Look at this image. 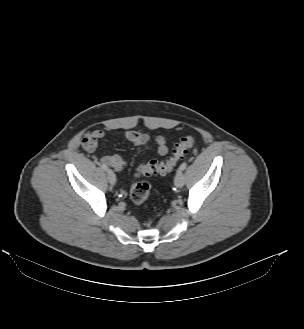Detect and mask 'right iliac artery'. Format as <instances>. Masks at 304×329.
<instances>
[{
    "mask_svg": "<svg viewBox=\"0 0 304 329\" xmlns=\"http://www.w3.org/2000/svg\"><path fill=\"white\" fill-rule=\"evenodd\" d=\"M101 168H102L103 170H105V171H108V167H107V165H105V164H101Z\"/></svg>",
    "mask_w": 304,
    "mask_h": 329,
    "instance_id": "1",
    "label": "right iliac artery"
}]
</instances>
